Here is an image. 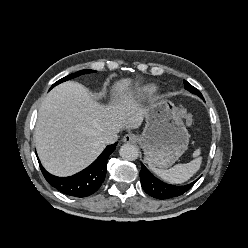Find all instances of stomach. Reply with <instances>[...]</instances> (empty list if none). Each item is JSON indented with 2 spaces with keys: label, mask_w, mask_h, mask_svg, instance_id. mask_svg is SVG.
<instances>
[{
  "label": "stomach",
  "mask_w": 248,
  "mask_h": 248,
  "mask_svg": "<svg viewBox=\"0 0 248 248\" xmlns=\"http://www.w3.org/2000/svg\"><path fill=\"white\" fill-rule=\"evenodd\" d=\"M146 125L138 138L148 164L168 168L187 150L189 133L180 110L168 99L152 98L144 109Z\"/></svg>",
  "instance_id": "stomach-1"
}]
</instances>
